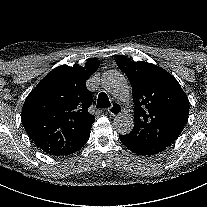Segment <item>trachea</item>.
<instances>
[{"instance_id":"3493384b","label":"trachea","mask_w":207,"mask_h":207,"mask_svg":"<svg viewBox=\"0 0 207 207\" xmlns=\"http://www.w3.org/2000/svg\"><path fill=\"white\" fill-rule=\"evenodd\" d=\"M110 101L106 93L102 92L98 96V101H97V108H108L110 107Z\"/></svg>"}]
</instances>
